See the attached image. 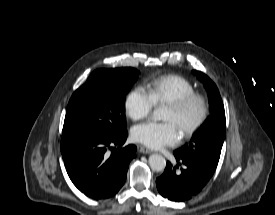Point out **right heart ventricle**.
<instances>
[{
  "label": "right heart ventricle",
  "instance_id": "right-heart-ventricle-1",
  "mask_svg": "<svg viewBox=\"0 0 275 215\" xmlns=\"http://www.w3.org/2000/svg\"><path fill=\"white\" fill-rule=\"evenodd\" d=\"M146 88L155 105L167 104L195 91L186 78L177 74L158 76L149 81Z\"/></svg>",
  "mask_w": 275,
  "mask_h": 215
}]
</instances>
